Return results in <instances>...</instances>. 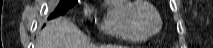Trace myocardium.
I'll return each instance as SVG.
<instances>
[{
	"label": "myocardium",
	"mask_w": 213,
	"mask_h": 48,
	"mask_svg": "<svg viewBox=\"0 0 213 48\" xmlns=\"http://www.w3.org/2000/svg\"><path fill=\"white\" fill-rule=\"evenodd\" d=\"M149 9L152 11V13L156 16L157 21H158V27L154 32H147L141 22H140V14L142 11ZM132 21L135 25V27L138 29L139 32H141L143 35H145L146 37H151L153 35H155L156 33H158L162 27V19L160 16L159 11L150 3L146 2V1H137L135 7L133 8L132 14Z\"/></svg>",
	"instance_id": "f54148a6"
}]
</instances>
